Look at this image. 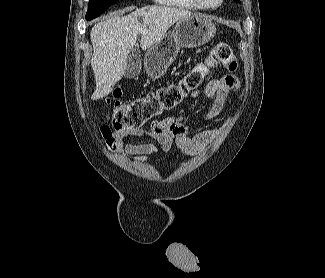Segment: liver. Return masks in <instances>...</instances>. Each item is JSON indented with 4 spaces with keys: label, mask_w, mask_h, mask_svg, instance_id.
<instances>
[{
    "label": "liver",
    "mask_w": 325,
    "mask_h": 278,
    "mask_svg": "<svg viewBox=\"0 0 325 278\" xmlns=\"http://www.w3.org/2000/svg\"><path fill=\"white\" fill-rule=\"evenodd\" d=\"M132 9L116 12L91 29V66L96 81L92 100L109 95L124 76L127 57L136 44L138 34H141L140 47L146 50L157 44L174 23L195 16L183 8L161 5L142 7L124 15Z\"/></svg>",
    "instance_id": "6515ba94"
}]
</instances>
